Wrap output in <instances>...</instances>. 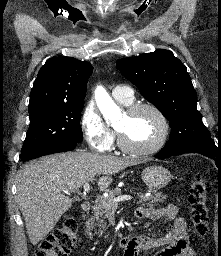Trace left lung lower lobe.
Masks as SVG:
<instances>
[{
    "instance_id": "0a47b994",
    "label": "left lung lower lobe",
    "mask_w": 221,
    "mask_h": 256,
    "mask_svg": "<svg viewBox=\"0 0 221 256\" xmlns=\"http://www.w3.org/2000/svg\"><path fill=\"white\" fill-rule=\"evenodd\" d=\"M182 153H200L206 157L216 160V165L221 168V145H215L212 138L194 139L185 144L165 146L156 158L164 159Z\"/></svg>"
}]
</instances>
